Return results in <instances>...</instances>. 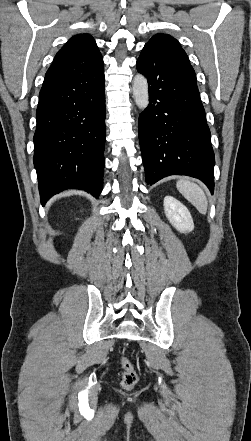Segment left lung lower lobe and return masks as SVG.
Returning a JSON list of instances; mask_svg holds the SVG:
<instances>
[{"mask_svg":"<svg viewBox=\"0 0 251 441\" xmlns=\"http://www.w3.org/2000/svg\"><path fill=\"white\" fill-rule=\"evenodd\" d=\"M137 70L149 83L150 103L139 117V141L150 185L169 175H187L214 191V152L188 59L144 47Z\"/></svg>","mask_w":251,"mask_h":441,"instance_id":"left-lung-lower-lobe-1","label":"left lung lower lobe"}]
</instances>
